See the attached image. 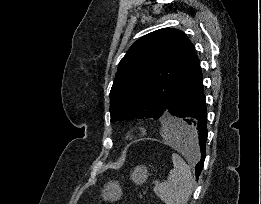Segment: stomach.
Segmentation results:
<instances>
[{"instance_id":"1","label":"stomach","mask_w":261,"mask_h":204,"mask_svg":"<svg viewBox=\"0 0 261 204\" xmlns=\"http://www.w3.org/2000/svg\"><path fill=\"white\" fill-rule=\"evenodd\" d=\"M130 178L136 184H143L148 178L147 168L143 165L135 167L134 170L131 172ZM121 195L122 189L119 186L118 182L110 180L104 184V187L102 189V197L105 200L114 201L119 199Z\"/></svg>"}]
</instances>
